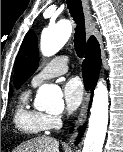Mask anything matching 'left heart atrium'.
<instances>
[{
    "instance_id": "obj_1",
    "label": "left heart atrium",
    "mask_w": 123,
    "mask_h": 152,
    "mask_svg": "<svg viewBox=\"0 0 123 152\" xmlns=\"http://www.w3.org/2000/svg\"><path fill=\"white\" fill-rule=\"evenodd\" d=\"M63 97L65 108L69 113L76 111L84 95V89L78 78H70L63 84Z\"/></svg>"
}]
</instances>
